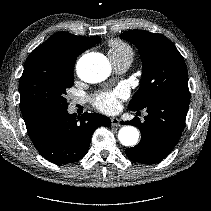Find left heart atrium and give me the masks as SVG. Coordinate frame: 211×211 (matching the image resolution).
I'll use <instances>...</instances> for the list:
<instances>
[{
	"label": "left heart atrium",
	"instance_id": "1",
	"mask_svg": "<svg viewBox=\"0 0 211 211\" xmlns=\"http://www.w3.org/2000/svg\"><path fill=\"white\" fill-rule=\"evenodd\" d=\"M123 97V90L103 92L95 98L94 105L103 112H114L119 108V99Z\"/></svg>",
	"mask_w": 211,
	"mask_h": 211
}]
</instances>
